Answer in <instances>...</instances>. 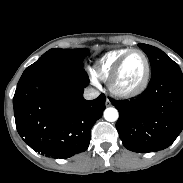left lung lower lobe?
Returning <instances> with one entry per match:
<instances>
[{"label":"left lung lower lobe","mask_w":183,"mask_h":183,"mask_svg":"<svg viewBox=\"0 0 183 183\" xmlns=\"http://www.w3.org/2000/svg\"><path fill=\"white\" fill-rule=\"evenodd\" d=\"M119 111L116 128L130 151L169 147L183 130V74L179 67L151 76L147 89L131 101L110 99Z\"/></svg>","instance_id":"left-lung-lower-lobe-1"}]
</instances>
